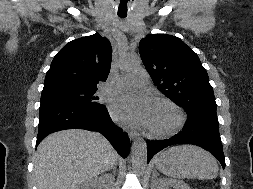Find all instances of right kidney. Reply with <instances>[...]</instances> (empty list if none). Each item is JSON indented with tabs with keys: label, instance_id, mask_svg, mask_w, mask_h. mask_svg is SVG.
Wrapping results in <instances>:
<instances>
[{
	"label": "right kidney",
	"instance_id": "obj_1",
	"mask_svg": "<svg viewBox=\"0 0 253 189\" xmlns=\"http://www.w3.org/2000/svg\"><path fill=\"white\" fill-rule=\"evenodd\" d=\"M109 175L112 176L111 174H105L87 180L80 184L76 189H113L114 179L111 178L110 180H107Z\"/></svg>",
	"mask_w": 253,
	"mask_h": 189
}]
</instances>
